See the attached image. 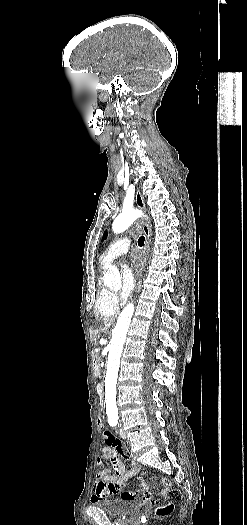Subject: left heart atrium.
Instances as JSON below:
<instances>
[{"label":"left heart atrium","mask_w":247,"mask_h":525,"mask_svg":"<svg viewBox=\"0 0 247 525\" xmlns=\"http://www.w3.org/2000/svg\"><path fill=\"white\" fill-rule=\"evenodd\" d=\"M128 267L122 271L123 286L120 291V298L123 300L131 293L135 284V274H141L147 263V257L140 251H133L127 257Z\"/></svg>","instance_id":"39dd6f15"}]
</instances>
